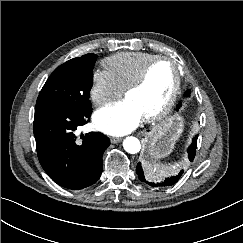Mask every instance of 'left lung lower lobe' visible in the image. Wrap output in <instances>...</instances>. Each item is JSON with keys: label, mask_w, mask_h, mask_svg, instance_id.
I'll return each mask as SVG.
<instances>
[{"label": "left lung lower lobe", "mask_w": 243, "mask_h": 243, "mask_svg": "<svg viewBox=\"0 0 243 243\" xmlns=\"http://www.w3.org/2000/svg\"><path fill=\"white\" fill-rule=\"evenodd\" d=\"M181 106V103H179L177 109ZM196 145H197V136H195L192 140L191 145L189 146V148L187 149L188 152V157L190 161H193L194 157H195V153H196ZM136 173L138 174L139 179L142 182H145L147 184H149L152 187H158V186H171L173 184H175L179 178L181 177V175L183 174V170H181L176 176H172V177H168L166 178L164 181L160 182V183H152V182H148L146 181L145 177H144V173L141 167V164L139 163L137 165V169H136Z\"/></svg>", "instance_id": "obj_1"}]
</instances>
